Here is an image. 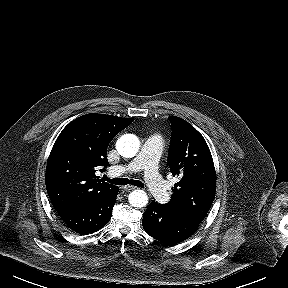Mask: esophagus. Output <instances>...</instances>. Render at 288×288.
<instances>
[{
    "label": "esophagus",
    "instance_id": "1",
    "mask_svg": "<svg viewBox=\"0 0 288 288\" xmlns=\"http://www.w3.org/2000/svg\"><path fill=\"white\" fill-rule=\"evenodd\" d=\"M136 188H137V187L131 186V185H127V186H124V187H123V189H124L125 191L134 190V189H136Z\"/></svg>",
    "mask_w": 288,
    "mask_h": 288
}]
</instances>
